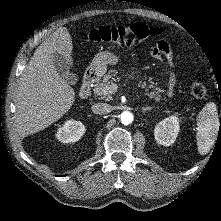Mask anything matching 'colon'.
Listing matches in <instances>:
<instances>
[{
    "instance_id": "1",
    "label": "colon",
    "mask_w": 221,
    "mask_h": 221,
    "mask_svg": "<svg viewBox=\"0 0 221 221\" xmlns=\"http://www.w3.org/2000/svg\"><path fill=\"white\" fill-rule=\"evenodd\" d=\"M161 33L160 28L135 23L128 26H103L94 29L87 34L86 40L93 43H109L119 47H130L150 37L159 36ZM189 89L191 95L197 99H204L207 96V88L201 78L192 81Z\"/></svg>"
}]
</instances>
